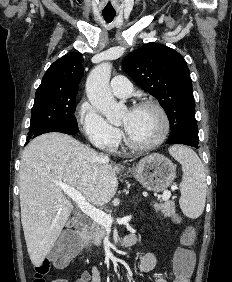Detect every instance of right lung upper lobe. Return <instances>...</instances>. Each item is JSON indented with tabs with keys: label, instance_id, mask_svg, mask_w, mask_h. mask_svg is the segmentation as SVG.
<instances>
[{
	"label": "right lung upper lobe",
	"instance_id": "1",
	"mask_svg": "<svg viewBox=\"0 0 232 282\" xmlns=\"http://www.w3.org/2000/svg\"><path fill=\"white\" fill-rule=\"evenodd\" d=\"M82 54L74 52L55 61L43 76L36 93L77 94L83 76Z\"/></svg>",
	"mask_w": 232,
	"mask_h": 282
}]
</instances>
